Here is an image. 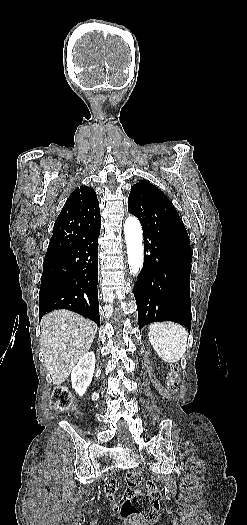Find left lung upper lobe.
<instances>
[{
	"label": "left lung upper lobe",
	"mask_w": 247,
	"mask_h": 525,
	"mask_svg": "<svg viewBox=\"0 0 247 525\" xmlns=\"http://www.w3.org/2000/svg\"><path fill=\"white\" fill-rule=\"evenodd\" d=\"M128 211L139 219L142 229L164 236L192 255L189 236L178 212L156 186L146 180L134 184L128 198Z\"/></svg>",
	"instance_id": "5c2ea615"
}]
</instances>
